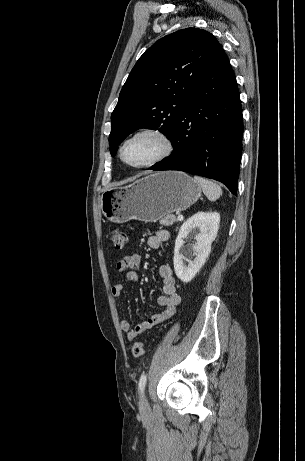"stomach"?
Listing matches in <instances>:
<instances>
[{
	"label": "stomach",
	"instance_id": "obj_1",
	"mask_svg": "<svg viewBox=\"0 0 305 461\" xmlns=\"http://www.w3.org/2000/svg\"><path fill=\"white\" fill-rule=\"evenodd\" d=\"M200 196L201 187L186 173L163 171L129 186L103 192L100 208L114 223L132 219L155 222L165 215L186 210Z\"/></svg>",
	"mask_w": 305,
	"mask_h": 461
}]
</instances>
